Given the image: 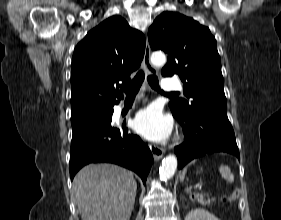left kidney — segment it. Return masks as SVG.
<instances>
[{"label":"left kidney","instance_id":"1","mask_svg":"<svg viewBox=\"0 0 281 220\" xmlns=\"http://www.w3.org/2000/svg\"><path fill=\"white\" fill-rule=\"evenodd\" d=\"M185 220H220L212 213H209L208 211L204 209H194L190 211L186 217Z\"/></svg>","mask_w":281,"mask_h":220}]
</instances>
